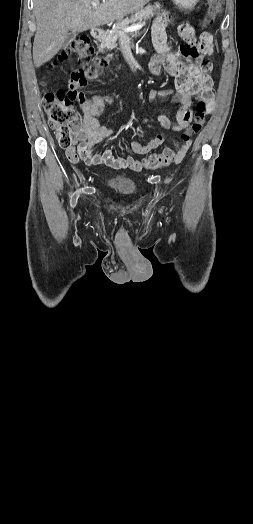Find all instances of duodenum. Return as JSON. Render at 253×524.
<instances>
[{
  "label": "duodenum",
  "mask_w": 253,
  "mask_h": 524,
  "mask_svg": "<svg viewBox=\"0 0 253 524\" xmlns=\"http://www.w3.org/2000/svg\"><path fill=\"white\" fill-rule=\"evenodd\" d=\"M103 31L101 29H93L91 31V35L93 36L94 39L96 40H100L102 37H103Z\"/></svg>",
  "instance_id": "410a0bca"
}]
</instances>
